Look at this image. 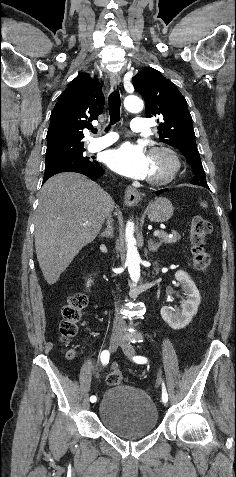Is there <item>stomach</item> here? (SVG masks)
<instances>
[{
  "label": "stomach",
  "mask_w": 236,
  "mask_h": 477,
  "mask_svg": "<svg viewBox=\"0 0 236 477\" xmlns=\"http://www.w3.org/2000/svg\"><path fill=\"white\" fill-rule=\"evenodd\" d=\"M174 212V207L167 198L159 197L147 207V215L150 221L164 223L168 221Z\"/></svg>",
  "instance_id": "1"
}]
</instances>
